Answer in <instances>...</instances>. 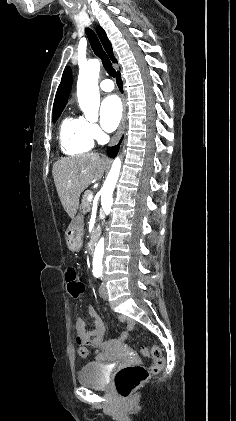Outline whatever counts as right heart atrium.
<instances>
[{
	"instance_id": "obj_1",
	"label": "right heart atrium",
	"mask_w": 236,
	"mask_h": 421,
	"mask_svg": "<svg viewBox=\"0 0 236 421\" xmlns=\"http://www.w3.org/2000/svg\"><path fill=\"white\" fill-rule=\"evenodd\" d=\"M85 122L93 140H99L102 136V133L97 123L89 119H85Z\"/></svg>"
}]
</instances>
